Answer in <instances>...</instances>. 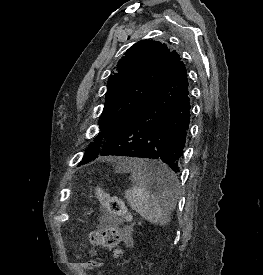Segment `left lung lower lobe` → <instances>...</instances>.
Masks as SVG:
<instances>
[{
	"label": "left lung lower lobe",
	"mask_w": 263,
	"mask_h": 275,
	"mask_svg": "<svg viewBox=\"0 0 263 275\" xmlns=\"http://www.w3.org/2000/svg\"><path fill=\"white\" fill-rule=\"evenodd\" d=\"M190 109L187 72L176 53L159 84L124 126L105 140L98 155L155 159L165 163L175 175L180 169ZM144 173L148 182L157 184L163 191L171 188V174L154 168Z\"/></svg>",
	"instance_id": "obj_1"
}]
</instances>
